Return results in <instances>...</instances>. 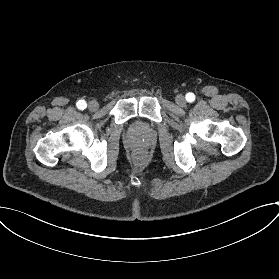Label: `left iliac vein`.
Here are the masks:
<instances>
[{
    "instance_id": "1",
    "label": "left iliac vein",
    "mask_w": 279,
    "mask_h": 279,
    "mask_svg": "<svg viewBox=\"0 0 279 279\" xmlns=\"http://www.w3.org/2000/svg\"><path fill=\"white\" fill-rule=\"evenodd\" d=\"M175 101H176V104L179 105V106H181V107H184V106H186V104H187V102H186V100H185V97H184L182 94H178V95L176 96Z\"/></svg>"
}]
</instances>
